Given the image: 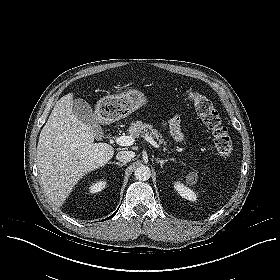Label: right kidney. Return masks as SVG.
Segmentation results:
<instances>
[{
	"mask_svg": "<svg viewBox=\"0 0 280 280\" xmlns=\"http://www.w3.org/2000/svg\"><path fill=\"white\" fill-rule=\"evenodd\" d=\"M107 182L105 180H99L95 183L91 184L89 187L90 193H97L103 190L106 186Z\"/></svg>",
	"mask_w": 280,
	"mask_h": 280,
	"instance_id": "right-kidney-1",
	"label": "right kidney"
}]
</instances>
